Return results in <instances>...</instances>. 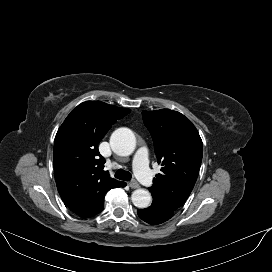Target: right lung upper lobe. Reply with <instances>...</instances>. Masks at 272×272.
<instances>
[{"mask_svg":"<svg viewBox=\"0 0 272 272\" xmlns=\"http://www.w3.org/2000/svg\"><path fill=\"white\" fill-rule=\"evenodd\" d=\"M129 112L100 101L83 102L71 111L56 134L53 164L57 189L67 207L81 218L99 213L105 194L122 183L103 170L105 159L97 145Z\"/></svg>","mask_w":272,"mask_h":272,"instance_id":"1","label":"right lung upper lobe"}]
</instances>
